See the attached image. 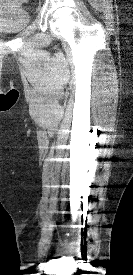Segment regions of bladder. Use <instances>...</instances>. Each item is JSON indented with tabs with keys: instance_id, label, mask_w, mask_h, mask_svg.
I'll return each mask as SVG.
<instances>
[{
	"instance_id": "obj_1",
	"label": "bladder",
	"mask_w": 133,
	"mask_h": 275,
	"mask_svg": "<svg viewBox=\"0 0 133 275\" xmlns=\"http://www.w3.org/2000/svg\"><path fill=\"white\" fill-rule=\"evenodd\" d=\"M0 0V32L22 31L30 22L28 9ZM14 2L13 0L10 1Z\"/></svg>"
}]
</instances>
